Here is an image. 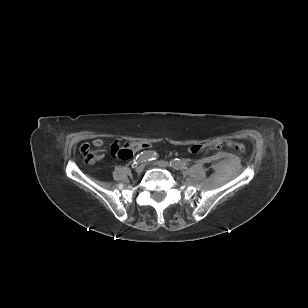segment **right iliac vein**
Listing matches in <instances>:
<instances>
[{"instance_id": "right-iliac-vein-1", "label": "right iliac vein", "mask_w": 308, "mask_h": 308, "mask_svg": "<svg viewBox=\"0 0 308 308\" xmlns=\"http://www.w3.org/2000/svg\"><path fill=\"white\" fill-rule=\"evenodd\" d=\"M145 168V164H141L139 166L136 167V172L141 173Z\"/></svg>"}]
</instances>
